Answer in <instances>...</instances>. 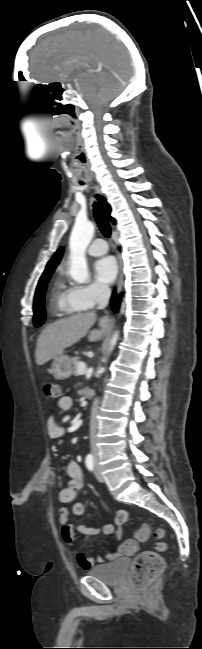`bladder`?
<instances>
[{
	"instance_id": "1",
	"label": "bladder",
	"mask_w": 202,
	"mask_h": 649,
	"mask_svg": "<svg viewBox=\"0 0 202 649\" xmlns=\"http://www.w3.org/2000/svg\"><path fill=\"white\" fill-rule=\"evenodd\" d=\"M129 564L128 558H120L111 563L95 566L88 571V574L106 584L115 585L122 581Z\"/></svg>"
}]
</instances>
